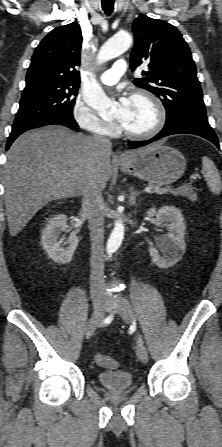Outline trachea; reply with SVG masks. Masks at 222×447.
I'll return each mask as SVG.
<instances>
[{
  "label": "trachea",
  "instance_id": "1",
  "mask_svg": "<svg viewBox=\"0 0 222 447\" xmlns=\"http://www.w3.org/2000/svg\"><path fill=\"white\" fill-rule=\"evenodd\" d=\"M102 8L106 15H110L114 9V0H102Z\"/></svg>",
  "mask_w": 222,
  "mask_h": 447
}]
</instances>
